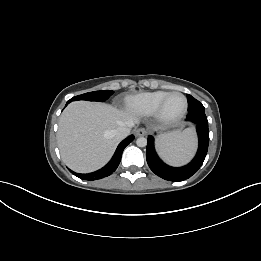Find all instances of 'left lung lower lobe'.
<instances>
[{"label": "left lung lower lobe", "mask_w": 261, "mask_h": 261, "mask_svg": "<svg viewBox=\"0 0 261 261\" xmlns=\"http://www.w3.org/2000/svg\"><path fill=\"white\" fill-rule=\"evenodd\" d=\"M187 121L196 124L199 147L194 159L183 167H171L165 164L157 155L154 148V138L148 136L146 160L150 169L159 177L168 181H183L195 174L204 162L209 145V129L205 112H189Z\"/></svg>", "instance_id": "1"}]
</instances>
